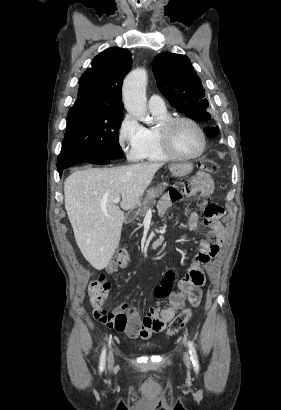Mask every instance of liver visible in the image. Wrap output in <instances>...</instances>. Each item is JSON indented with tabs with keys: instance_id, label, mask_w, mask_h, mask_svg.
Returning a JSON list of instances; mask_svg holds the SVG:
<instances>
[{
	"instance_id": "obj_1",
	"label": "liver",
	"mask_w": 281,
	"mask_h": 410,
	"mask_svg": "<svg viewBox=\"0 0 281 410\" xmlns=\"http://www.w3.org/2000/svg\"><path fill=\"white\" fill-rule=\"evenodd\" d=\"M162 163L76 171L64 182L65 209L85 259L104 269L118 247L123 210L134 208ZM122 197L120 207L113 200Z\"/></svg>"
}]
</instances>
